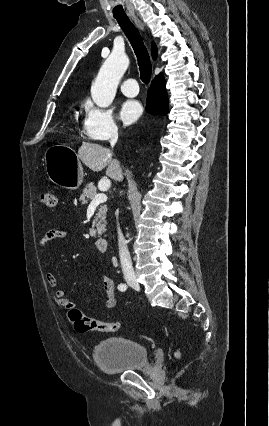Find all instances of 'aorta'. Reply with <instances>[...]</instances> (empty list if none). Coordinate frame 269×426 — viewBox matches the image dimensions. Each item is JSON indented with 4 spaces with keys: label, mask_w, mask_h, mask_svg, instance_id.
Returning <instances> with one entry per match:
<instances>
[{
    "label": "aorta",
    "mask_w": 269,
    "mask_h": 426,
    "mask_svg": "<svg viewBox=\"0 0 269 426\" xmlns=\"http://www.w3.org/2000/svg\"><path fill=\"white\" fill-rule=\"evenodd\" d=\"M128 66L129 59L122 51H113L106 59L91 87V96L97 106L105 108L111 105Z\"/></svg>",
    "instance_id": "762f6f07"
}]
</instances>
